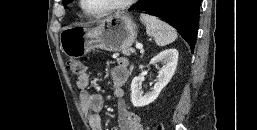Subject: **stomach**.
<instances>
[{"label": "stomach", "instance_id": "1", "mask_svg": "<svg viewBox=\"0 0 257 130\" xmlns=\"http://www.w3.org/2000/svg\"><path fill=\"white\" fill-rule=\"evenodd\" d=\"M138 27L127 14H116L102 20L96 27L82 25L62 29L60 49L71 58H80L91 50L119 51L128 49L137 38Z\"/></svg>", "mask_w": 257, "mask_h": 130}]
</instances>
